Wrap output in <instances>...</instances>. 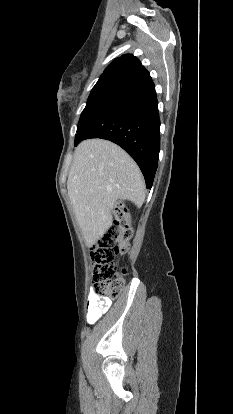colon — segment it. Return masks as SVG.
I'll return each mask as SVG.
<instances>
[{"instance_id": "1", "label": "colon", "mask_w": 233, "mask_h": 414, "mask_svg": "<svg viewBox=\"0 0 233 414\" xmlns=\"http://www.w3.org/2000/svg\"><path fill=\"white\" fill-rule=\"evenodd\" d=\"M115 221L93 248V290L109 299L120 296L125 285V271L119 272L116 258L124 254L133 231L127 223V211L122 203L114 206Z\"/></svg>"}]
</instances>
